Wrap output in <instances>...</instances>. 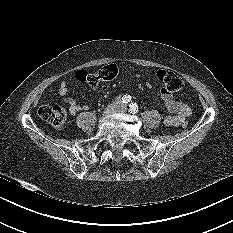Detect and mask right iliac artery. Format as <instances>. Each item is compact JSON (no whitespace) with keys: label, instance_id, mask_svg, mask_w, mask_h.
<instances>
[{"label":"right iliac artery","instance_id":"right-iliac-artery-1","mask_svg":"<svg viewBox=\"0 0 233 233\" xmlns=\"http://www.w3.org/2000/svg\"><path fill=\"white\" fill-rule=\"evenodd\" d=\"M131 101V96L130 95H124L123 97H122V103H124V104H128L129 102Z\"/></svg>","mask_w":233,"mask_h":233}]
</instances>
